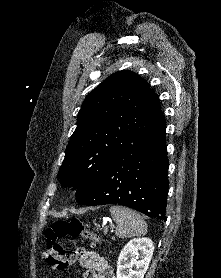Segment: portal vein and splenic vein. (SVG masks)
<instances>
[{"mask_svg":"<svg viewBox=\"0 0 221 278\" xmlns=\"http://www.w3.org/2000/svg\"><path fill=\"white\" fill-rule=\"evenodd\" d=\"M104 231L107 232V228H105Z\"/></svg>","mask_w":221,"mask_h":278,"instance_id":"obj_1","label":"portal vein and splenic vein"}]
</instances>
